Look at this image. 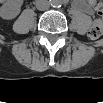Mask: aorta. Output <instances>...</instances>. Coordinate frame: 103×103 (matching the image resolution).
<instances>
[{"instance_id":"aorta-1","label":"aorta","mask_w":103,"mask_h":103,"mask_svg":"<svg viewBox=\"0 0 103 103\" xmlns=\"http://www.w3.org/2000/svg\"><path fill=\"white\" fill-rule=\"evenodd\" d=\"M54 5H58L57 2H55Z\"/></svg>"}]
</instances>
